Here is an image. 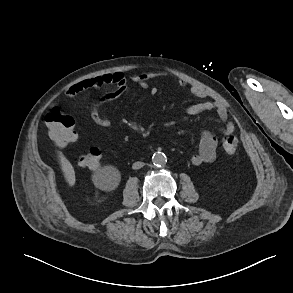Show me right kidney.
<instances>
[{
	"mask_svg": "<svg viewBox=\"0 0 293 293\" xmlns=\"http://www.w3.org/2000/svg\"><path fill=\"white\" fill-rule=\"evenodd\" d=\"M103 170L106 174L109 175V177H112L116 183L120 181V173L117 168L113 166H106Z\"/></svg>",
	"mask_w": 293,
	"mask_h": 293,
	"instance_id": "right-kidney-1",
	"label": "right kidney"
}]
</instances>
